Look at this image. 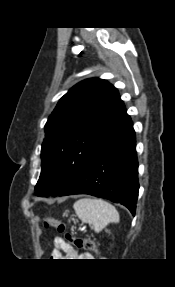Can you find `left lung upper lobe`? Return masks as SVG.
<instances>
[{"mask_svg": "<svg viewBox=\"0 0 175 287\" xmlns=\"http://www.w3.org/2000/svg\"><path fill=\"white\" fill-rule=\"evenodd\" d=\"M131 118L118 90L99 78L83 80L58 102L45 125L36 195L57 196L89 166L99 149Z\"/></svg>", "mask_w": 175, "mask_h": 287, "instance_id": "5c2ea615", "label": "left lung upper lobe"}]
</instances>
